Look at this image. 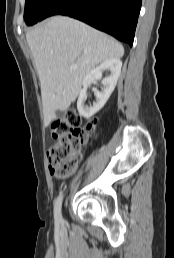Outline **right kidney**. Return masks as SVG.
I'll use <instances>...</instances> for the list:
<instances>
[{
  "instance_id": "ca27d5eb",
  "label": "right kidney",
  "mask_w": 174,
  "mask_h": 258,
  "mask_svg": "<svg viewBox=\"0 0 174 258\" xmlns=\"http://www.w3.org/2000/svg\"><path fill=\"white\" fill-rule=\"evenodd\" d=\"M121 67L122 62L120 59H109L102 62L98 67H96L86 75L83 80V89L80 91L77 101V109L81 116L85 118H90L106 104L107 100L115 89L121 73ZM105 70H109L110 75L102 79V89L101 91L95 92L96 101L93 102V105L86 106L84 102L87 98L88 86H90V84L94 80L101 79L102 73Z\"/></svg>"
}]
</instances>
